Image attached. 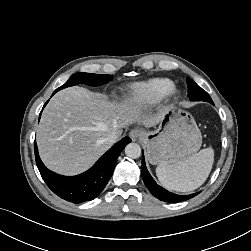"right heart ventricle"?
<instances>
[{"instance_id":"1","label":"right heart ventricle","mask_w":251,"mask_h":251,"mask_svg":"<svg viewBox=\"0 0 251 251\" xmlns=\"http://www.w3.org/2000/svg\"><path fill=\"white\" fill-rule=\"evenodd\" d=\"M173 86L174 82L169 78H152L135 84L132 87V97L136 103L155 104L166 97Z\"/></svg>"}]
</instances>
